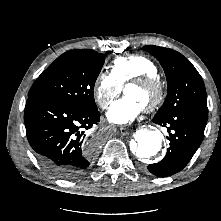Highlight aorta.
I'll use <instances>...</instances> for the list:
<instances>
[{"mask_svg": "<svg viewBox=\"0 0 221 221\" xmlns=\"http://www.w3.org/2000/svg\"><path fill=\"white\" fill-rule=\"evenodd\" d=\"M136 146L132 151L139 159L156 155L162 147V135L158 131L139 130L135 136Z\"/></svg>", "mask_w": 221, "mask_h": 221, "instance_id": "1", "label": "aorta"}]
</instances>
